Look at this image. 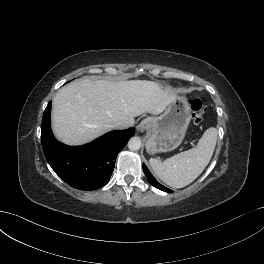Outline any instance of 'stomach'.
Returning <instances> with one entry per match:
<instances>
[{"label":"stomach","mask_w":264,"mask_h":264,"mask_svg":"<svg viewBox=\"0 0 264 264\" xmlns=\"http://www.w3.org/2000/svg\"><path fill=\"white\" fill-rule=\"evenodd\" d=\"M146 149L151 154L169 152L183 141L191 120V108L187 99L177 96L158 117H149Z\"/></svg>","instance_id":"obj_1"}]
</instances>
